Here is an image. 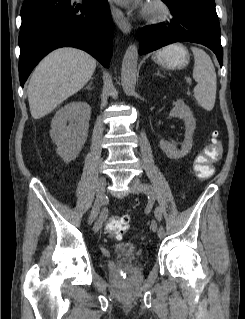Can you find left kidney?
Listing matches in <instances>:
<instances>
[{"label": "left kidney", "mask_w": 245, "mask_h": 319, "mask_svg": "<svg viewBox=\"0 0 245 319\" xmlns=\"http://www.w3.org/2000/svg\"><path fill=\"white\" fill-rule=\"evenodd\" d=\"M170 117H177L184 120L185 123V139L181 150H177L176 145L168 141L161 140L160 145L163 151L170 159H180L186 156L192 148L193 133L196 127V120L190 108L183 100L178 99L175 107L170 111Z\"/></svg>", "instance_id": "5707ae66"}]
</instances>
